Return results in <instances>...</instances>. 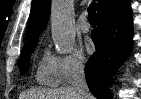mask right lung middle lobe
<instances>
[{
  "label": "right lung middle lobe",
  "instance_id": "obj_1",
  "mask_svg": "<svg viewBox=\"0 0 141 99\" xmlns=\"http://www.w3.org/2000/svg\"><path fill=\"white\" fill-rule=\"evenodd\" d=\"M36 43L37 42L25 44L22 49L21 58H20V72L22 75L28 72L30 55H31L32 50L36 46Z\"/></svg>",
  "mask_w": 141,
  "mask_h": 99
}]
</instances>
